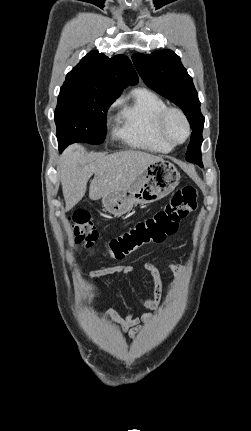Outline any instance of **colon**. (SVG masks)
<instances>
[{
  "label": "colon",
  "mask_w": 251,
  "mask_h": 431,
  "mask_svg": "<svg viewBox=\"0 0 251 431\" xmlns=\"http://www.w3.org/2000/svg\"><path fill=\"white\" fill-rule=\"evenodd\" d=\"M196 208L197 192L193 186L177 190L169 203L154 215L138 221L111 239L106 247L105 256L112 260H121L145 245L164 242L177 231L179 222ZM69 221L77 247L91 251L99 234L89 214L82 211L74 212Z\"/></svg>",
  "instance_id": "obj_1"
}]
</instances>
